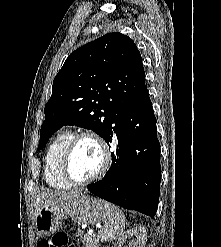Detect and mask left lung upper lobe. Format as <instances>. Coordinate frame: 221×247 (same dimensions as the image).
<instances>
[{
  "mask_svg": "<svg viewBox=\"0 0 221 247\" xmlns=\"http://www.w3.org/2000/svg\"><path fill=\"white\" fill-rule=\"evenodd\" d=\"M149 99L140 52L121 33H108L72 52L55 76L45 105L38 150L63 125L103 139L117 112Z\"/></svg>",
  "mask_w": 221,
  "mask_h": 247,
  "instance_id": "1",
  "label": "left lung upper lobe"
}]
</instances>
